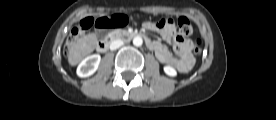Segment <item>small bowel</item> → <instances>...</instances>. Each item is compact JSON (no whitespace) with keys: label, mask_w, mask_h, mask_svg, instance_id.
<instances>
[{"label":"small bowel","mask_w":276,"mask_h":120,"mask_svg":"<svg viewBox=\"0 0 276 120\" xmlns=\"http://www.w3.org/2000/svg\"><path fill=\"white\" fill-rule=\"evenodd\" d=\"M143 27L148 31L157 32L165 41L171 43L178 56V58L174 57L161 42L148 39V47L155 52L160 62L175 67L181 73H187L191 70L194 64V59L190 53L191 42L180 36L174 26L160 27L158 22L147 21Z\"/></svg>","instance_id":"1"}]
</instances>
